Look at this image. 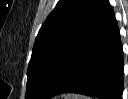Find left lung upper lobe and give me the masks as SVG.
Returning <instances> with one entry per match:
<instances>
[{
	"label": "left lung upper lobe",
	"mask_w": 128,
	"mask_h": 99,
	"mask_svg": "<svg viewBox=\"0 0 128 99\" xmlns=\"http://www.w3.org/2000/svg\"><path fill=\"white\" fill-rule=\"evenodd\" d=\"M109 5L108 0H59L36 37L25 99L51 92L64 65L84 45Z\"/></svg>",
	"instance_id": "1"
}]
</instances>
